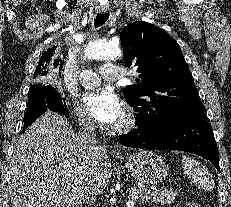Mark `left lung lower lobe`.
<instances>
[{"instance_id": "left-lung-lower-lobe-1", "label": "left lung lower lobe", "mask_w": 231, "mask_h": 207, "mask_svg": "<svg viewBox=\"0 0 231 207\" xmlns=\"http://www.w3.org/2000/svg\"><path fill=\"white\" fill-rule=\"evenodd\" d=\"M120 141L134 148L195 153L209 160L220 172L218 148L204 111L184 114L156 131L137 129L121 135Z\"/></svg>"}]
</instances>
